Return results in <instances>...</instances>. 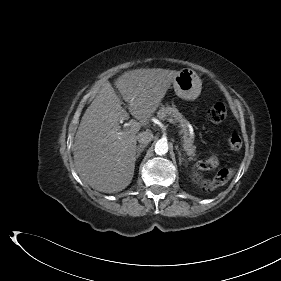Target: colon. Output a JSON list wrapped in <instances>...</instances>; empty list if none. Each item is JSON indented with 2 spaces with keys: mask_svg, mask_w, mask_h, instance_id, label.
<instances>
[{
  "mask_svg": "<svg viewBox=\"0 0 281 281\" xmlns=\"http://www.w3.org/2000/svg\"><path fill=\"white\" fill-rule=\"evenodd\" d=\"M226 115L227 110L223 103L214 104L207 113L208 119L213 123H220L224 121ZM227 144L230 149L238 150L242 146V139L236 132H232L227 138ZM217 165L218 159L216 155H211L209 158L204 159L199 163V168L202 170H207L214 168ZM232 174V169H221L212 180L202 181L199 177H196V180L201 184L204 190L210 191L226 183L230 179Z\"/></svg>",
  "mask_w": 281,
  "mask_h": 281,
  "instance_id": "5ec220e1",
  "label": "colon"
}]
</instances>
